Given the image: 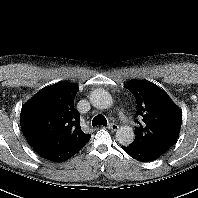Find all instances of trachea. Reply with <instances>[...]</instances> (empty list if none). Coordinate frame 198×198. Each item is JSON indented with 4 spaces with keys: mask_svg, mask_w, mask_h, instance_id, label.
Masks as SVG:
<instances>
[{
    "mask_svg": "<svg viewBox=\"0 0 198 198\" xmlns=\"http://www.w3.org/2000/svg\"><path fill=\"white\" fill-rule=\"evenodd\" d=\"M106 124H107L106 118L102 114L97 115L92 121L93 127L101 126V125L106 126Z\"/></svg>",
    "mask_w": 198,
    "mask_h": 198,
    "instance_id": "1",
    "label": "trachea"
}]
</instances>
